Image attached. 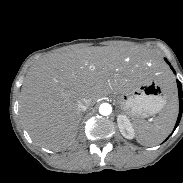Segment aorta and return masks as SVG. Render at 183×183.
<instances>
[{"label": "aorta", "mask_w": 183, "mask_h": 183, "mask_svg": "<svg viewBox=\"0 0 183 183\" xmlns=\"http://www.w3.org/2000/svg\"><path fill=\"white\" fill-rule=\"evenodd\" d=\"M112 112V107L108 103H102L99 107V113L103 116H108Z\"/></svg>", "instance_id": "762f6f07"}]
</instances>
